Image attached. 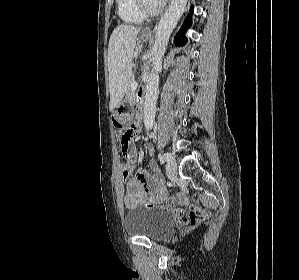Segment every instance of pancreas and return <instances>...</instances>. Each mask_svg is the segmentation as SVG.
Wrapping results in <instances>:
<instances>
[{
    "mask_svg": "<svg viewBox=\"0 0 299 280\" xmlns=\"http://www.w3.org/2000/svg\"><path fill=\"white\" fill-rule=\"evenodd\" d=\"M133 81H134V78H133V76H131L130 84H129V88H128V94H129V95L132 94V92H131V84L133 83Z\"/></svg>",
    "mask_w": 299,
    "mask_h": 280,
    "instance_id": "cf45deb5",
    "label": "pancreas"
}]
</instances>
